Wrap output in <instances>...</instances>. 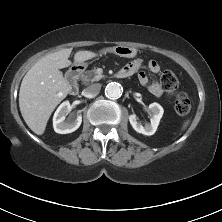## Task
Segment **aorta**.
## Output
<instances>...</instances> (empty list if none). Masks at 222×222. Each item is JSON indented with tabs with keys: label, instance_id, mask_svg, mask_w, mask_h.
Segmentation results:
<instances>
[{
	"label": "aorta",
	"instance_id": "1",
	"mask_svg": "<svg viewBox=\"0 0 222 222\" xmlns=\"http://www.w3.org/2000/svg\"><path fill=\"white\" fill-rule=\"evenodd\" d=\"M105 94L110 98L117 99L122 95V87L116 82L109 83L105 88Z\"/></svg>",
	"mask_w": 222,
	"mask_h": 222
}]
</instances>
